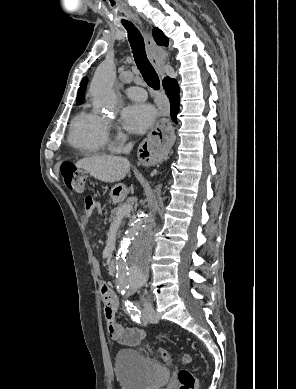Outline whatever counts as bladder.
I'll return each instance as SVG.
<instances>
[{
	"label": "bladder",
	"mask_w": 296,
	"mask_h": 389,
	"mask_svg": "<svg viewBox=\"0 0 296 389\" xmlns=\"http://www.w3.org/2000/svg\"><path fill=\"white\" fill-rule=\"evenodd\" d=\"M115 372L122 389H159L170 375L167 367L144 358L133 349L117 352Z\"/></svg>",
	"instance_id": "obj_1"
}]
</instances>
